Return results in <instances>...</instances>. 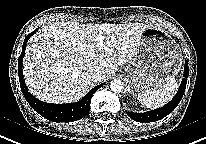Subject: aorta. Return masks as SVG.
<instances>
[{
  "label": "aorta",
  "mask_w": 206,
  "mask_h": 144,
  "mask_svg": "<svg viewBox=\"0 0 206 144\" xmlns=\"http://www.w3.org/2000/svg\"><path fill=\"white\" fill-rule=\"evenodd\" d=\"M110 88L115 93H120L124 90V83L121 80H112L110 82Z\"/></svg>",
  "instance_id": "1"
}]
</instances>
